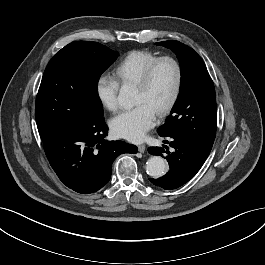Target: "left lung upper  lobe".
Segmentation results:
<instances>
[{
    "label": "left lung upper lobe",
    "instance_id": "5c2ea615",
    "mask_svg": "<svg viewBox=\"0 0 265 265\" xmlns=\"http://www.w3.org/2000/svg\"><path fill=\"white\" fill-rule=\"evenodd\" d=\"M156 45L173 50L181 67L178 98L157 132L162 137L190 141L209 155L216 135L217 108L215 88L207 68L192 48L179 41H163Z\"/></svg>",
    "mask_w": 265,
    "mask_h": 265
}]
</instances>
